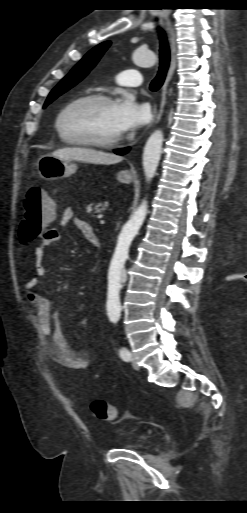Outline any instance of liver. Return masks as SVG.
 <instances>
[{"label": "liver", "instance_id": "obj_1", "mask_svg": "<svg viewBox=\"0 0 247 513\" xmlns=\"http://www.w3.org/2000/svg\"><path fill=\"white\" fill-rule=\"evenodd\" d=\"M51 155L63 160H79L93 164L110 165L122 161V157L115 154L83 147L62 148L54 151Z\"/></svg>", "mask_w": 247, "mask_h": 513}]
</instances>
